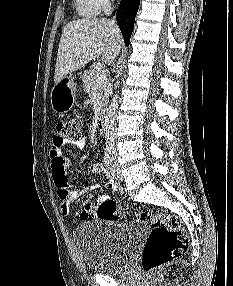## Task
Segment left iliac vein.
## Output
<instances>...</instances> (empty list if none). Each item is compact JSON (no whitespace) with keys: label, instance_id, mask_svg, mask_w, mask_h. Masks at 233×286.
I'll use <instances>...</instances> for the list:
<instances>
[{"label":"left iliac vein","instance_id":"1","mask_svg":"<svg viewBox=\"0 0 233 286\" xmlns=\"http://www.w3.org/2000/svg\"><path fill=\"white\" fill-rule=\"evenodd\" d=\"M110 171H111L112 176L116 180L121 181L123 179V176L121 174V170H120L118 163H117V156L115 153H114V156L112 157V165L110 167Z\"/></svg>","mask_w":233,"mask_h":286}]
</instances>
